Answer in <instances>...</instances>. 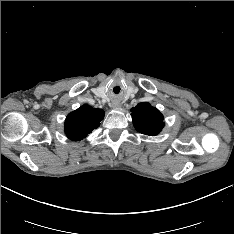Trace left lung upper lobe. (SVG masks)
<instances>
[{
	"instance_id": "5c2ea615",
	"label": "left lung upper lobe",
	"mask_w": 234,
	"mask_h": 234,
	"mask_svg": "<svg viewBox=\"0 0 234 234\" xmlns=\"http://www.w3.org/2000/svg\"><path fill=\"white\" fill-rule=\"evenodd\" d=\"M134 127L146 135H157L164 127L163 115L149 103H139L131 109Z\"/></svg>"
}]
</instances>
